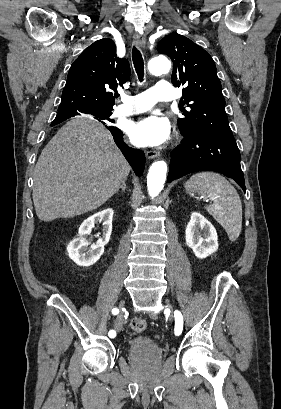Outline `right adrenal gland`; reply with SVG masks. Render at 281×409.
<instances>
[{
    "label": "right adrenal gland",
    "mask_w": 281,
    "mask_h": 409,
    "mask_svg": "<svg viewBox=\"0 0 281 409\" xmlns=\"http://www.w3.org/2000/svg\"><path fill=\"white\" fill-rule=\"evenodd\" d=\"M123 190V192H125L126 190V180H122V184H120V186H118V188H116L115 192H118V190Z\"/></svg>",
    "instance_id": "2a0ac1e0"
}]
</instances>
